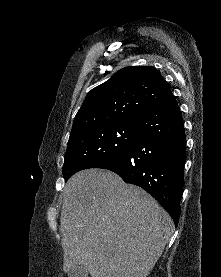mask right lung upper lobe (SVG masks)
Here are the masks:
<instances>
[{"label":"right lung upper lobe","instance_id":"right-lung-upper-lobe-1","mask_svg":"<svg viewBox=\"0 0 221 277\" xmlns=\"http://www.w3.org/2000/svg\"><path fill=\"white\" fill-rule=\"evenodd\" d=\"M172 97L156 68H123L88 93L74 118L70 136L96 126L136 122Z\"/></svg>","mask_w":221,"mask_h":277}]
</instances>
